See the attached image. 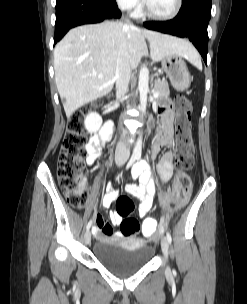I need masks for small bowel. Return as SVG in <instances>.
<instances>
[{"label": "small bowel", "instance_id": "obj_1", "mask_svg": "<svg viewBox=\"0 0 247 304\" xmlns=\"http://www.w3.org/2000/svg\"><path fill=\"white\" fill-rule=\"evenodd\" d=\"M158 110L160 112L161 127L156 132L153 143L151 145V152L154 153L164 147H168L173 143V118L174 110L169 100H163ZM112 133V122L107 121L104 123L99 133L93 135L87 146V158L88 165L94 164L102 155V147L109 141ZM173 152L166 151L158 164V175L161 182L165 183L169 181L173 175ZM131 177L138 183H131L125 187L126 193L137 198L140 202L139 214L144 217L151 209L153 199L156 193V186L154 178L151 174L148 163L143 160L135 164L131 170ZM107 193L103 195L101 199V205L103 208H109L113 200L115 199V193L113 192V186L111 183L106 185ZM110 223L104 220L102 217H97L96 224L92 229V232L97 238H107L113 236L115 238H121L123 234L121 232H112L111 224L118 225L121 223L122 218L116 212H110Z\"/></svg>", "mask_w": 247, "mask_h": 304}]
</instances>
